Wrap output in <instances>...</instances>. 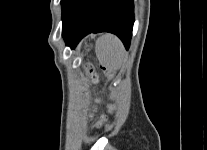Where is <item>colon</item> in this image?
<instances>
[{
	"instance_id": "1",
	"label": "colon",
	"mask_w": 207,
	"mask_h": 150,
	"mask_svg": "<svg viewBox=\"0 0 207 150\" xmlns=\"http://www.w3.org/2000/svg\"><path fill=\"white\" fill-rule=\"evenodd\" d=\"M86 71L93 77L95 78L94 74H93V71H92V68L90 65H87L86 66ZM100 126H102L103 128H106L108 125L105 124V123H100Z\"/></svg>"
}]
</instances>
